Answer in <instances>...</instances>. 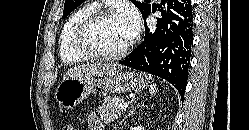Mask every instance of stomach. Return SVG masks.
<instances>
[{
  "mask_svg": "<svg viewBox=\"0 0 249 130\" xmlns=\"http://www.w3.org/2000/svg\"><path fill=\"white\" fill-rule=\"evenodd\" d=\"M147 85L144 75L136 71L116 72L96 78H69L63 80L57 87L55 99L65 110L76 107L85 98L96 92V87H103L110 93L139 92Z\"/></svg>",
  "mask_w": 249,
  "mask_h": 130,
  "instance_id": "stomach-1",
  "label": "stomach"
}]
</instances>
